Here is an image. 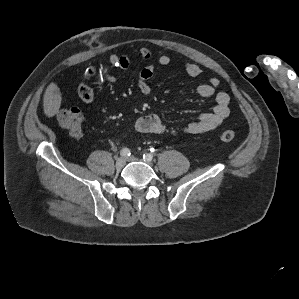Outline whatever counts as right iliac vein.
<instances>
[{
  "label": "right iliac vein",
  "instance_id": "63e3f726",
  "mask_svg": "<svg viewBox=\"0 0 299 299\" xmlns=\"http://www.w3.org/2000/svg\"><path fill=\"white\" fill-rule=\"evenodd\" d=\"M125 164H126V159L123 157H120L116 160L115 166L117 169H122L125 166Z\"/></svg>",
  "mask_w": 299,
  "mask_h": 299
}]
</instances>
